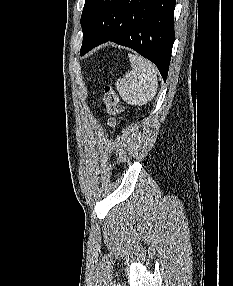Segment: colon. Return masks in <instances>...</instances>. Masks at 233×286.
<instances>
[{"label":"colon","mask_w":233,"mask_h":286,"mask_svg":"<svg viewBox=\"0 0 233 286\" xmlns=\"http://www.w3.org/2000/svg\"><path fill=\"white\" fill-rule=\"evenodd\" d=\"M102 101L106 113L110 116V124L116 125L119 122V115L122 112V107L115 91L110 85L105 86Z\"/></svg>","instance_id":"colon-1"}]
</instances>
